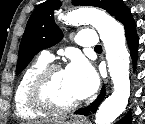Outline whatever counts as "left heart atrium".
I'll use <instances>...</instances> for the list:
<instances>
[{
  "label": "left heart atrium",
  "mask_w": 145,
  "mask_h": 124,
  "mask_svg": "<svg viewBox=\"0 0 145 124\" xmlns=\"http://www.w3.org/2000/svg\"><path fill=\"white\" fill-rule=\"evenodd\" d=\"M65 74L78 99L89 97L98 87V77L94 69L81 57L72 59Z\"/></svg>",
  "instance_id": "left-heart-atrium-1"
}]
</instances>
